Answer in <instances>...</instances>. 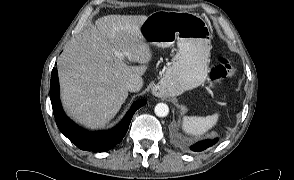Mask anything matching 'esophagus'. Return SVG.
I'll return each instance as SVG.
<instances>
[{"instance_id":"obj_1","label":"esophagus","mask_w":294,"mask_h":180,"mask_svg":"<svg viewBox=\"0 0 294 180\" xmlns=\"http://www.w3.org/2000/svg\"><path fill=\"white\" fill-rule=\"evenodd\" d=\"M158 87L153 88L152 92L155 94V91L157 90Z\"/></svg>"}]
</instances>
